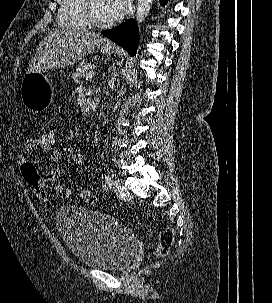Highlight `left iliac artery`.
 <instances>
[{
  "mask_svg": "<svg viewBox=\"0 0 272 303\" xmlns=\"http://www.w3.org/2000/svg\"><path fill=\"white\" fill-rule=\"evenodd\" d=\"M106 184L111 188L112 187V177L108 174L105 176Z\"/></svg>",
  "mask_w": 272,
  "mask_h": 303,
  "instance_id": "1",
  "label": "left iliac artery"
}]
</instances>
